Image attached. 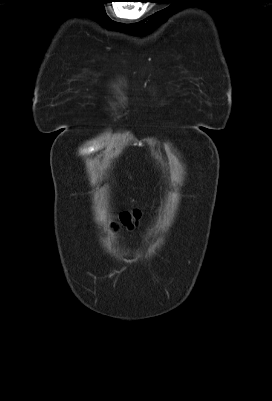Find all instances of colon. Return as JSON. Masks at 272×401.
Listing matches in <instances>:
<instances>
[{
    "mask_svg": "<svg viewBox=\"0 0 272 401\" xmlns=\"http://www.w3.org/2000/svg\"><path fill=\"white\" fill-rule=\"evenodd\" d=\"M141 213L139 211L124 212L119 216L118 223L122 226L131 228L140 219Z\"/></svg>",
    "mask_w": 272,
    "mask_h": 401,
    "instance_id": "1",
    "label": "colon"
}]
</instances>
